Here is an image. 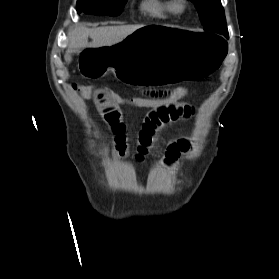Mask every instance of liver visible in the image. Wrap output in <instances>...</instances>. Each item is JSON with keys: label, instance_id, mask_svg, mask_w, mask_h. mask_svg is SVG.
<instances>
[{"label": "liver", "instance_id": "liver-1", "mask_svg": "<svg viewBox=\"0 0 279 279\" xmlns=\"http://www.w3.org/2000/svg\"><path fill=\"white\" fill-rule=\"evenodd\" d=\"M145 27L144 25L106 26L89 29L77 26L68 33V48L66 54L78 53L82 49L109 47L118 44L134 31ZM88 37L92 39L88 43Z\"/></svg>", "mask_w": 279, "mask_h": 279}]
</instances>
